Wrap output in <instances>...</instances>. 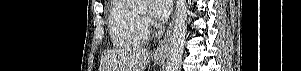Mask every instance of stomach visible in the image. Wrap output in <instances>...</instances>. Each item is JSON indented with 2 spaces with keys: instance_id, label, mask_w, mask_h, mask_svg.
I'll list each match as a JSON object with an SVG mask.
<instances>
[{
  "instance_id": "obj_1",
  "label": "stomach",
  "mask_w": 301,
  "mask_h": 71,
  "mask_svg": "<svg viewBox=\"0 0 301 71\" xmlns=\"http://www.w3.org/2000/svg\"><path fill=\"white\" fill-rule=\"evenodd\" d=\"M155 62H156L157 64H161V63L163 62V59H155Z\"/></svg>"
}]
</instances>
